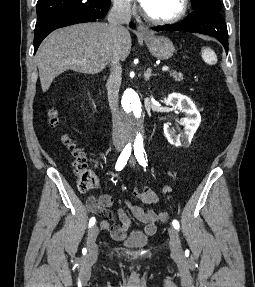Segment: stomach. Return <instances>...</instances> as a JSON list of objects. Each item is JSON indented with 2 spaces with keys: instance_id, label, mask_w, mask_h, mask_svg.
I'll list each match as a JSON object with an SVG mask.
<instances>
[{
  "instance_id": "stomach-1",
  "label": "stomach",
  "mask_w": 255,
  "mask_h": 287,
  "mask_svg": "<svg viewBox=\"0 0 255 287\" xmlns=\"http://www.w3.org/2000/svg\"><path fill=\"white\" fill-rule=\"evenodd\" d=\"M143 40L150 54L157 60H169L175 52L174 44L165 36H153L151 34V36H147Z\"/></svg>"
}]
</instances>
